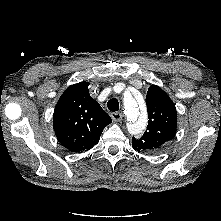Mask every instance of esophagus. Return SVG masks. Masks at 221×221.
<instances>
[{"mask_svg": "<svg viewBox=\"0 0 221 221\" xmlns=\"http://www.w3.org/2000/svg\"><path fill=\"white\" fill-rule=\"evenodd\" d=\"M111 117H112L114 122H119V121L122 120V113H120V112H113L111 114Z\"/></svg>", "mask_w": 221, "mask_h": 221, "instance_id": "obj_1", "label": "esophagus"}]
</instances>
